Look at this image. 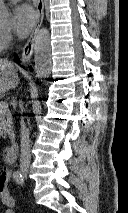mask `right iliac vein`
<instances>
[{"label":"right iliac vein","instance_id":"obj_1","mask_svg":"<svg viewBox=\"0 0 128 213\" xmlns=\"http://www.w3.org/2000/svg\"><path fill=\"white\" fill-rule=\"evenodd\" d=\"M21 172H22L24 175H27L28 172H29V168H28V167H22V168H21Z\"/></svg>","mask_w":128,"mask_h":213}]
</instances>
